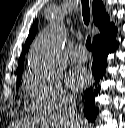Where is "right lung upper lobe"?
Returning a JSON list of instances; mask_svg holds the SVG:
<instances>
[{
	"mask_svg": "<svg viewBox=\"0 0 125 128\" xmlns=\"http://www.w3.org/2000/svg\"><path fill=\"white\" fill-rule=\"evenodd\" d=\"M92 9H93L94 24L96 26H98V28L100 30L99 35H101L105 31H107L109 28H111L114 24L110 23L109 16L106 13V10H105V7L103 5L102 0H93ZM37 29H38V20H36L35 23L32 25L30 32H29V35L26 39L25 45H24L23 50H22L21 57L19 59L17 74L20 73L23 69L25 53L29 49L30 43L34 39L36 32H37ZM99 35L95 36L93 38V40L96 39Z\"/></svg>",
	"mask_w": 125,
	"mask_h": 128,
	"instance_id": "cb5924a9",
	"label": "right lung upper lobe"
}]
</instances>
